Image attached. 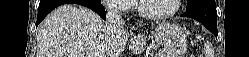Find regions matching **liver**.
<instances>
[{"instance_id": "6515ba94", "label": "liver", "mask_w": 249, "mask_h": 57, "mask_svg": "<svg viewBox=\"0 0 249 57\" xmlns=\"http://www.w3.org/2000/svg\"><path fill=\"white\" fill-rule=\"evenodd\" d=\"M129 39L124 26L111 30L94 11L75 4L54 9L39 25L36 57H120ZM146 37L130 40L132 55H140Z\"/></svg>"}]
</instances>
